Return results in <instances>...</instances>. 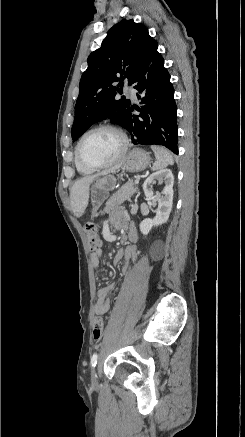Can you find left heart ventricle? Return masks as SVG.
<instances>
[{"mask_svg":"<svg viewBox=\"0 0 245 437\" xmlns=\"http://www.w3.org/2000/svg\"><path fill=\"white\" fill-rule=\"evenodd\" d=\"M122 146L120 136L111 130H98L89 134L81 145L84 159L91 163H106L114 159Z\"/></svg>","mask_w":245,"mask_h":437,"instance_id":"obj_1","label":"left heart ventricle"}]
</instances>
